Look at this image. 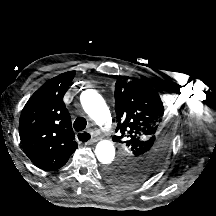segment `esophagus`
<instances>
[{
  "label": "esophagus",
  "mask_w": 216,
  "mask_h": 216,
  "mask_svg": "<svg viewBox=\"0 0 216 216\" xmlns=\"http://www.w3.org/2000/svg\"><path fill=\"white\" fill-rule=\"evenodd\" d=\"M84 133H86L87 135L90 136V139H89L88 141H86L87 144H91V143L97 142L98 139H97L96 137H94V136H93L90 132H88V131L77 133V138L79 139V137H80L82 134H84ZM79 140H80V139H79ZM80 141H81V140H80Z\"/></svg>",
  "instance_id": "obj_1"
}]
</instances>
